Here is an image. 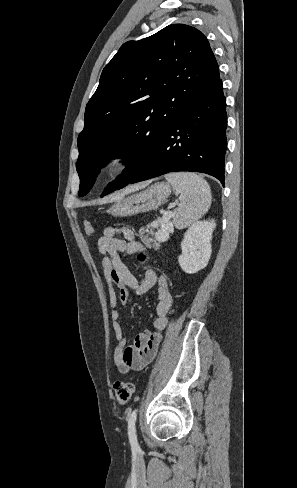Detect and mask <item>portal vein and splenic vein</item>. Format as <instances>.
Wrapping results in <instances>:
<instances>
[{
    "label": "portal vein and splenic vein",
    "mask_w": 297,
    "mask_h": 488,
    "mask_svg": "<svg viewBox=\"0 0 297 488\" xmlns=\"http://www.w3.org/2000/svg\"><path fill=\"white\" fill-rule=\"evenodd\" d=\"M171 208V207H169ZM172 216V212L170 211H163V228L168 229V221L170 220ZM158 235V233H157Z\"/></svg>",
    "instance_id": "obj_1"
}]
</instances>
